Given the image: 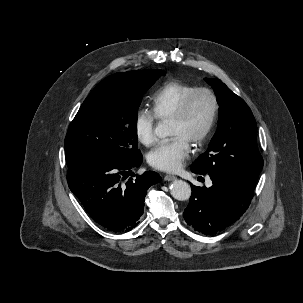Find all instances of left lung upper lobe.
Segmentation results:
<instances>
[{
  "label": "left lung upper lobe",
  "mask_w": 303,
  "mask_h": 303,
  "mask_svg": "<svg viewBox=\"0 0 303 303\" xmlns=\"http://www.w3.org/2000/svg\"><path fill=\"white\" fill-rule=\"evenodd\" d=\"M217 97V131L208 149L190 166L200 173L218 172L240 179L255 188L263 167L257 146L255 118L248 105L221 80L205 78Z\"/></svg>",
  "instance_id": "5c2ea615"
}]
</instances>
